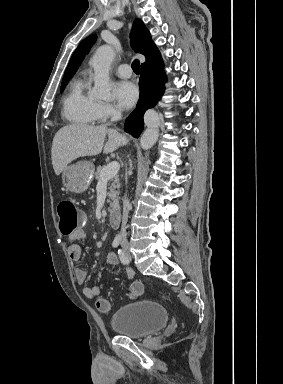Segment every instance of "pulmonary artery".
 <instances>
[{
    "mask_svg": "<svg viewBox=\"0 0 283 384\" xmlns=\"http://www.w3.org/2000/svg\"><path fill=\"white\" fill-rule=\"evenodd\" d=\"M116 75L121 78H128L132 74V69L128 65H120L115 70Z\"/></svg>",
    "mask_w": 283,
    "mask_h": 384,
    "instance_id": "pulmonary-artery-1",
    "label": "pulmonary artery"
}]
</instances>
